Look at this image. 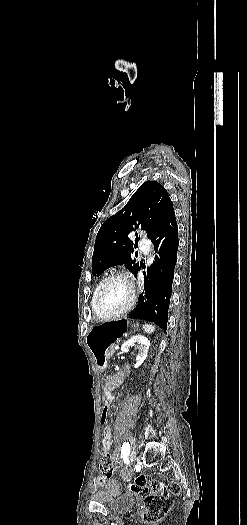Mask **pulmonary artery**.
I'll list each match as a JSON object with an SVG mask.
<instances>
[{
	"instance_id": "pulmonary-artery-1",
	"label": "pulmonary artery",
	"mask_w": 247,
	"mask_h": 525,
	"mask_svg": "<svg viewBox=\"0 0 247 525\" xmlns=\"http://www.w3.org/2000/svg\"><path fill=\"white\" fill-rule=\"evenodd\" d=\"M140 252L142 254V257L144 259H147L149 257L148 253H151L152 248L149 245V240L147 236H141L140 245H139Z\"/></svg>"
}]
</instances>
